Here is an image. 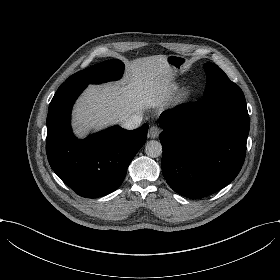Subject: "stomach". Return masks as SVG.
I'll use <instances>...</instances> for the list:
<instances>
[{
  "label": "stomach",
  "instance_id": "0dacf381",
  "mask_svg": "<svg viewBox=\"0 0 280 280\" xmlns=\"http://www.w3.org/2000/svg\"><path fill=\"white\" fill-rule=\"evenodd\" d=\"M167 63L175 72L183 73L188 70V59L180 55H168Z\"/></svg>",
  "mask_w": 280,
  "mask_h": 280
}]
</instances>
